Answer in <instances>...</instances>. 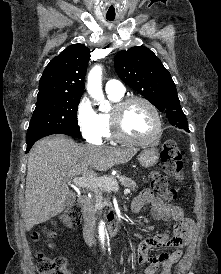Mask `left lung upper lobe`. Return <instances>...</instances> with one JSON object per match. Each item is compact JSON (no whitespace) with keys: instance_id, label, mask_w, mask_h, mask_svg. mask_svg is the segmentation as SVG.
<instances>
[{"instance_id":"1","label":"left lung upper lobe","mask_w":221,"mask_h":274,"mask_svg":"<svg viewBox=\"0 0 221 274\" xmlns=\"http://www.w3.org/2000/svg\"><path fill=\"white\" fill-rule=\"evenodd\" d=\"M114 66L120 79L142 94L159 111L166 112L172 125L188 127L175 83L150 49L138 46L120 51L114 58Z\"/></svg>"}]
</instances>
